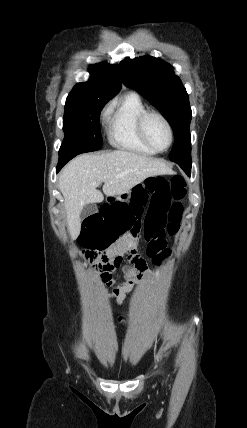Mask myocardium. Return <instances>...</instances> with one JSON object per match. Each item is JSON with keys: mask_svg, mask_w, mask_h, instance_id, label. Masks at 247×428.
<instances>
[{"mask_svg": "<svg viewBox=\"0 0 247 428\" xmlns=\"http://www.w3.org/2000/svg\"><path fill=\"white\" fill-rule=\"evenodd\" d=\"M155 116L158 117L166 126L168 132H169V143L167 145L166 148L164 149H158L156 148L152 142L150 141L148 135H147V131H146V124L147 121L150 117ZM138 132L139 135L141 137V139L143 140V142L150 147L152 150H154L157 153H162L167 151L173 144L174 141V132H173V128L169 122V120L160 112L158 111H153V110H147L145 111L143 114L140 115L139 119H138Z\"/></svg>", "mask_w": 247, "mask_h": 428, "instance_id": "myocardium-1", "label": "myocardium"}]
</instances>
